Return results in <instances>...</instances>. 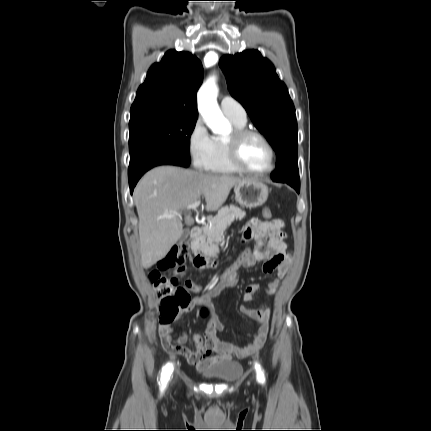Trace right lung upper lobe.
Wrapping results in <instances>:
<instances>
[{
	"label": "right lung upper lobe",
	"mask_w": 431,
	"mask_h": 431,
	"mask_svg": "<svg viewBox=\"0 0 431 431\" xmlns=\"http://www.w3.org/2000/svg\"><path fill=\"white\" fill-rule=\"evenodd\" d=\"M202 80L203 68L196 56L169 50L150 67L138 88L131 118L147 114L197 118L196 93Z\"/></svg>",
	"instance_id": "right-lung-upper-lobe-1"
}]
</instances>
